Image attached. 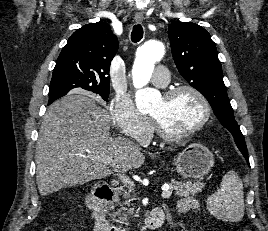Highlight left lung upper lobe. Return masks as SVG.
<instances>
[{
    "label": "left lung upper lobe",
    "mask_w": 268,
    "mask_h": 231,
    "mask_svg": "<svg viewBox=\"0 0 268 231\" xmlns=\"http://www.w3.org/2000/svg\"><path fill=\"white\" fill-rule=\"evenodd\" d=\"M168 36L180 74L209 101L218 120L233 135L239 150L247 152L244 136L234 119L221 63L210 34L195 23L175 22L169 25Z\"/></svg>",
    "instance_id": "left-lung-upper-lobe-1"
}]
</instances>
